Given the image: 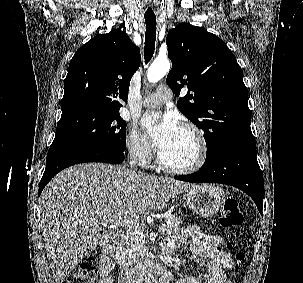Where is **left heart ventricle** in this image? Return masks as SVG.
Wrapping results in <instances>:
<instances>
[{"instance_id": "obj_1", "label": "left heart ventricle", "mask_w": 303, "mask_h": 283, "mask_svg": "<svg viewBox=\"0 0 303 283\" xmlns=\"http://www.w3.org/2000/svg\"><path fill=\"white\" fill-rule=\"evenodd\" d=\"M161 153L169 165L185 167L191 165L196 160L198 145L192 133L179 128L177 134L161 150Z\"/></svg>"}]
</instances>
